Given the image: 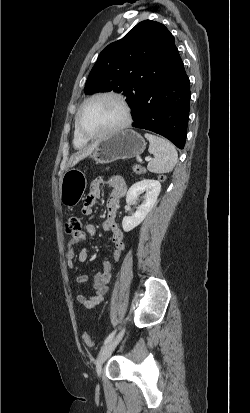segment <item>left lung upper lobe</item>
Segmentation results:
<instances>
[{"instance_id": "obj_1", "label": "left lung upper lobe", "mask_w": 250, "mask_h": 413, "mask_svg": "<svg viewBox=\"0 0 250 413\" xmlns=\"http://www.w3.org/2000/svg\"><path fill=\"white\" fill-rule=\"evenodd\" d=\"M174 44L161 23L145 20L99 55L85 84V93L115 91L127 96L131 107L142 83L158 74Z\"/></svg>"}]
</instances>
